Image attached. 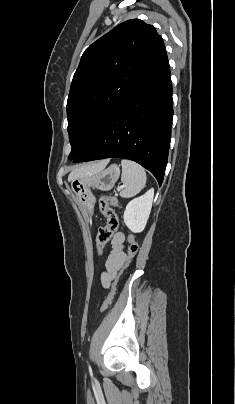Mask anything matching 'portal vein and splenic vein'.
I'll return each mask as SVG.
<instances>
[{"label": "portal vein and splenic vein", "instance_id": "1", "mask_svg": "<svg viewBox=\"0 0 235 404\" xmlns=\"http://www.w3.org/2000/svg\"><path fill=\"white\" fill-rule=\"evenodd\" d=\"M122 189H123V186H120V187L117 188L118 191H120Z\"/></svg>", "mask_w": 235, "mask_h": 404}]
</instances>
